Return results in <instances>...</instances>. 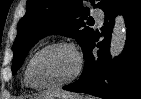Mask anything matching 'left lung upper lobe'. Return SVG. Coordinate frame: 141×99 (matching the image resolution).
Here are the masks:
<instances>
[{
  "mask_svg": "<svg viewBox=\"0 0 141 99\" xmlns=\"http://www.w3.org/2000/svg\"><path fill=\"white\" fill-rule=\"evenodd\" d=\"M115 0H90L95 8L106 9ZM85 0H28L26 14L17 27L13 44L14 59L12 73L22 66L28 51L41 38L50 34H62L75 38L83 52L94 38V31L85 27L84 19L89 9L83 6Z\"/></svg>",
  "mask_w": 141,
  "mask_h": 99,
  "instance_id": "left-lung-upper-lobe-1",
  "label": "left lung upper lobe"
}]
</instances>
